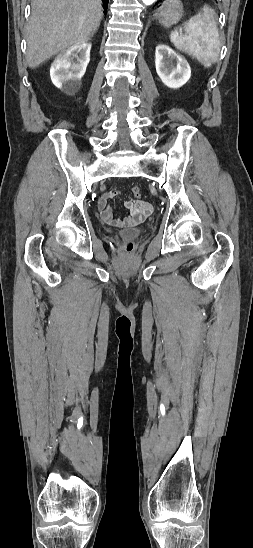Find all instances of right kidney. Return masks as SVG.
Masks as SVG:
<instances>
[{
	"instance_id": "obj_1",
	"label": "right kidney",
	"mask_w": 253,
	"mask_h": 548,
	"mask_svg": "<svg viewBox=\"0 0 253 548\" xmlns=\"http://www.w3.org/2000/svg\"><path fill=\"white\" fill-rule=\"evenodd\" d=\"M90 49V43H77L56 57L50 68V77L57 88L66 93L79 88L90 61Z\"/></svg>"
}]
</instances>
